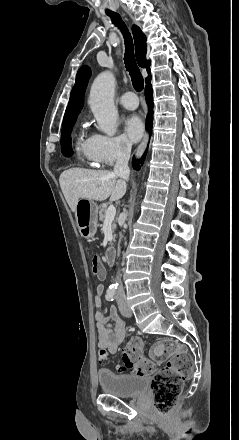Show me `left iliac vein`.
I'll return each mask as SVG.
<instances>
[{
	"mask_svg": "<svg viewBox=\"0 0 239 440\" xmlns=\"http://www.w3.org/2000/svg\"><path fill=\"white\" fill-rule=\"evenodd\" d=\"M119 309L121 314L124 317H131L132 316V311L130 309V307L125 303V302H119Z\"/></svg>",
	"mask_w": 239,
	"mask_h": 440,
	"instance_id": "left-iliac-vein-1",
	"label": "left iliac vein"
}]
</instances>
